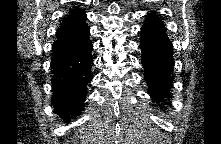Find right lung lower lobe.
Wrapping results in <instances>:
<instances>
[{
  "label": "right lung lower lobe",
  "instance_id": "1",
  "mask_svg": "<svg viewBox=\"0 0 221 144\" xmlns=\"http://www.w3.org/2000/svg\"><path fill=\"white\" fill-rule=\"evenodd\" d=\"M89 27H80L57 37L53 44L52 104L54 111L67 122L84 109L87 85L92 80Z\"/></svg>",
  "mask_w": 221,
  "mask_h": 144
}]
</instances>
